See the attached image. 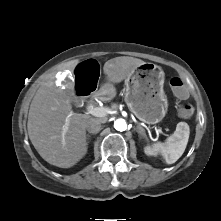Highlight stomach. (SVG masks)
<instances>
[{
  "instance_id": "stomach-1",
  "label": "stomach",
  "mask_w": 221,
  "mask_h": 221,
  "mask_svg": "<svg viewBox=\"0 0 221 221\" xmlns=\"http://www.w3.org/2000/svg\"><path fill=\"white\" fill-rule=\"evenodd\" d=\"M163 85L164 72L153 63L137 66L126 78L125 102L139 120L156 124L165 117L168 100ZM102 90L107 91V85Z\"/></svg>"
}]
</instances>
